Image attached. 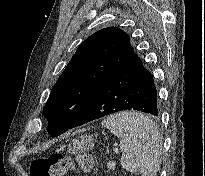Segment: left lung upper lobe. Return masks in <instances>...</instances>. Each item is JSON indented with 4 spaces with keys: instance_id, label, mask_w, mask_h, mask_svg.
I'll return each instance as SVG.
<instances>
[{
    "instance_id": "5c2ea615",
    "label": "left lung upper lobe",
    "mask_w": 205,
    "mask_h": 176,
    "mask_svg": "<svg viewBox=\"0 0 205 176\" xmlns=\"http://www.w3.org/2000/svg\"><path fill=\"white\" fill-rule=\"evenodd\" d=\"M134 55L130 37L117 27L97 31L78 47L43 109L52 137L66 132L97 89Z\"/></svg>"
}]
</instances>
